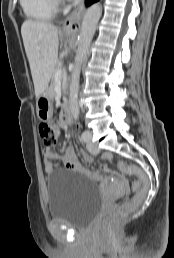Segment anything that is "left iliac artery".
Wrapping results in <instances>:
<instances>
[{
  "label": "left iliac artery",
  "instance_id": "1",
  "mask_svg": "<svg viewBox=\"0 0 174 258\" xmlns=\"http://www.w3.org/2000/svg\"><path fill=\"white\" fill-rule=\"evenodd\" d=\"M81 139L84 142H87L89 140V133L87 131L83 132L82 135H81Z\"/></svg>",
  "mask_w": 174,
  "mask_h": 258
}]
</instances>
